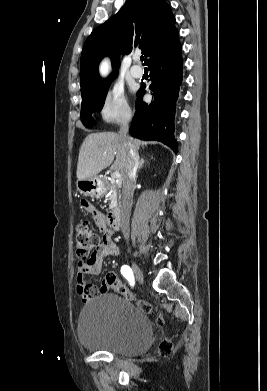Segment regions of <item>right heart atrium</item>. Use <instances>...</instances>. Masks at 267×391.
Listing matches in <instances>:
<instances>
[{
  "mask_svg": "<svg viewBox=\"0 0 267 391\" xmlns=\"http://www.w3.org/2000/svg\"><path fill=\"white\" fill-rule=\"evenodd\" d=\"M99 115L106 123H122L129 120L131 110L119 88L107 92L99 109Z\"/></svg>",
  "mask_w": 267,
  "mask_h": 391,
  "instance_id": "1",
  "label": "right heart atrium"
}]
</instances>
